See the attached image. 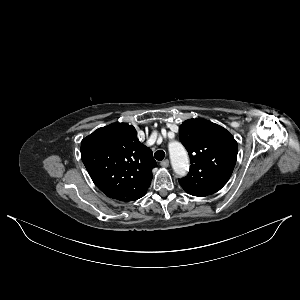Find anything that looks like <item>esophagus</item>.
Wrapping results in <instances>:
<instances>
[{
	"instance_id": "1",
	"label": "esophagus",
	"mask_w": 300,
	"mask_h": 300,
	"mask_svg": "<svg viewBox=\"0 0 300 300\" xmlns=\"http://www.w3.org/2000/svg\"><path fill=\"white\" fill-rule=\"evenodd\" d=\"M160 165L164 168H167L169 166V160L165 159V160L161 161Z\"/></svg>"
}]
</instances>
